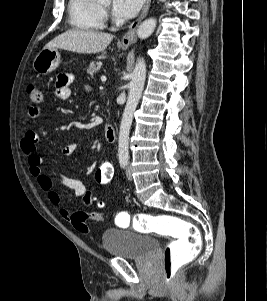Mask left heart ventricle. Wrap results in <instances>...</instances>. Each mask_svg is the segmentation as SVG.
Wrapping results in <instances>:
<instances>
[{
	"label": "left heart ventricle",
	"mask_w": 267,
	"mask_h": 301,
	"mask_svg": "<svg viewBox=\"0 0 267 301\" xmlns=\"http://www.w3.org/2000/svg\"><path fill=\"white\" fill-rule=\"evenodd\" d=\"M101 4H102V6L107 7V6L109 5V0H103V1L101 2Z\"/></svg>",
	"instance_id": "1"
}]
</instances>
